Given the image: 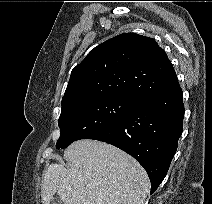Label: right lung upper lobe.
Returning a JSON list of instances; mask_svg holds the SVG:
<instances>
[{"label": "right lung upper lobe", "instance_id": "obj_1", "mask_svg": "<svg viewBox=\"0 0 212 204\" xmlns=\"http://www.w3.org/2000/svg\"><path fill=\"white\" fill-rule=\"evenodd\" d=\"M177 83L171 62L155 40L124 33L95 47L72 70L62 108L108 96L139 101Z\"/></svg>", "mask_w": 212, "mask_h": 204}]
</instances>
